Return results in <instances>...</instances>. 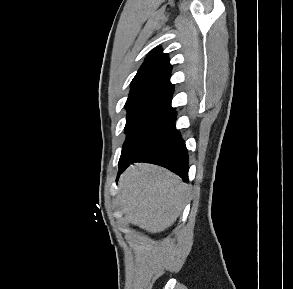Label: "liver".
I'll return each mask as SVG.
<instances>
[{"label": "liver", "mask_w": 293, "mask_h": 289, "mask_svg": "<svg viewBox=\"0 0 293 289\" xmlns=\"http://www.w3.org/2000/svg\"><path fill=\"white\" fill-rule=\"evenodd\" d=\"M187 189L170 171L140 163L120 177V204L129 223L159 233L172 226L180 215Z\"/></svg>", "instance_id": "liver-1"}]
</instances>
